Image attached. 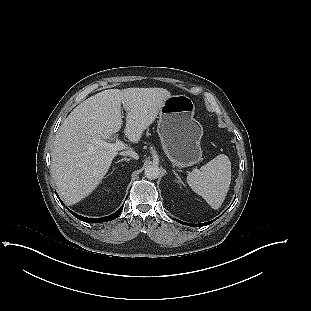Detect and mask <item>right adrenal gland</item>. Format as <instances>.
<instances>
[{
    "label": "right adrenal gland",
    "mask_w": 311,
    "mask_h": 311,
    "mask_svg": "<svg viewBox=\"0 0 311 311\" xmlns=\"http://www.w3.org/2000/svg\"><path fill=\"white\" fill-rule=\"evenodd\" d=\"M129 160H130V158H122V159L118 160L117 163L122 162V161H129Z\"/></svg>",
    "instance_id": "2a0ac1e0"
}]
</instances>
